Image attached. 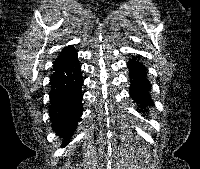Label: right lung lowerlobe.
<instances>
[{
    "mask_svg": "<svg viewBox=\"0 0 200 169\" xmlns=\"http://www.w3.org/2000/svg\"><path fill=\"white\" fill-rule=\"evenodd\" d=\"M80 71L76 55L71 59L55 63L50 80V117L56 134L65 139L62 146L68 144L82 114L83 78Z\"/></svg>",
    "mask_w": 200,
    "mask_h": 169,
    "instance_id": "98d812e1",
    "label": "right lung lower lobe"
}]
</instances>
